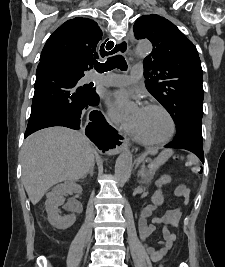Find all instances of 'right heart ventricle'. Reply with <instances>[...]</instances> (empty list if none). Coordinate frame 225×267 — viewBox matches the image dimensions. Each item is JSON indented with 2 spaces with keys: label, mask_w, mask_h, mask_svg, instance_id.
I'll return each mask as SVG.
<instances>
[{
  "label": "right heart ventricle",
  "mask_w": 225,
  "mask_h": 267,
  "mask_svg": "<svg viewBox=\"0 0 225 267\" xmlns=\"http://www.w3.org/2000/svg\"><path fill=\"white\" fill-rule=\"evenodd\" d=\"M131 134H132L133 138H134L136 141H139V142H141V143H144V142L141 140V138L139 137V135L136 133L135 130L132 131Z\"/></svg>",
  "instance_id": "e07e8e85"
}]
</instances>
